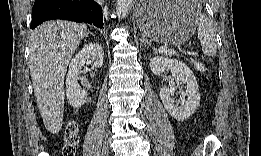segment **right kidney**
<instances>
[{
    "mask_svg": "<svg viewBox=\"0 0 261 156\" xmlns=\"http://www.w3.org/2000/svg\"><path fill=\"white\" fill-rule=\"evenodd\" d=\"M103 48L99 43L85 45L72 59L66 77V96L70 105L79 108L87 100V92L78 84V73L85 64L99 68L103 65Z\"/></svg>",
    "mask_w": 261,
    "mask_h": 156,
    "instance_id": "1",
    "label": "right kidney"
}]
</instances>
